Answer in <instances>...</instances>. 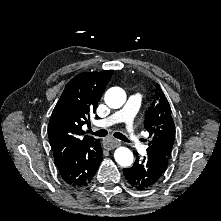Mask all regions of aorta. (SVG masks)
Segmentation results:
<instances>
[{
	"label": "aorta",
	"mask_w": 221,
	"mask_h": 221,
	"mask_svg": "<svg viewBox=\"0 0 221 221\" xmlns=\"http://www.w3.org/2000/svg\"><path fill=\"white\" fill-rule=\"evenodd\" d=\"M105 103L113 109L120 108L126 102V93L120 87H112L105 93ZM114 158L116 162L128 167L133 163V153L126 147H119L115 150Z\"/></svg>",
	"instance_id": "762f6f07"
}]
</instances>
